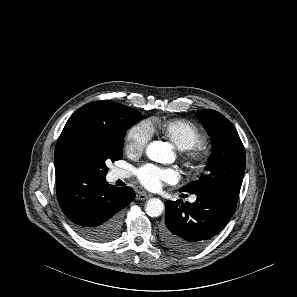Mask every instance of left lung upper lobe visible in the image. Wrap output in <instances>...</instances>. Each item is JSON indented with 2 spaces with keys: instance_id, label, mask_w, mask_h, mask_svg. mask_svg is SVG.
I'll return each mask as SVG.
<instances>
[{
  "instance_id": "obj_1",
  "label": "left lung upper lobe",
  "mask_w": 297,
  "mask_h": 297,
  "mask_svg": "<svg viewBox=\"0 0 297 297\" xmlns=\"http://www.w3.org/2000/svg\"><path fill=\"white\" fill-rule=\"evenodd\" d=\"M211 137L212 154L205 173L180 192H197L210 188L240 190L245 172V149L233 124L221 113L205 109L198 114Z\"/></svg>"
}]
</instances>
